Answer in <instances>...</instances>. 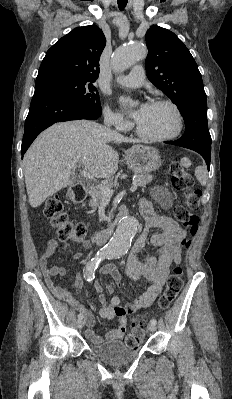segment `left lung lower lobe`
<instances>
[{
    "label": "left lung lower lobe",
    "instance_id": "left-lung-lower-lobe-1",
    "mask_svg": "<svg viewBox=\"0 0 232 399\" xmlns=\"http://www.w3.org/2000/svg\"><path fill=\"white\" fill-rule=\"evenodd\" d=\"M165 143L176 145V146H180V147H184V148H188V149L196 151L197 153H199L205 159L207 167H208V170H209L210 161H211V150L210 151L201 150V149H198V148H195V147H191V146L180 144V143H178V141H167Z\"/></svg>",
    "mask_w": 232,
    "mask_h": 399
}]
</instances>
